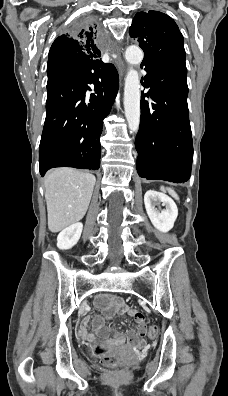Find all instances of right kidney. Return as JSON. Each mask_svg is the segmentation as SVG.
I'll return each mask as SVG.
<instances>
[{"instance_id":"1","label":"right kidney","mask_w":228,"mask_h":396,"mask_svg":"<svg viewBox=\"0 0 228 396\" xmlns=\"http://www.w3.org/2000/svg\"><path fill=\"white\" fill-rule=\"evenodd\" d=\"M83 230V224L77 222L65 228L57 237V247L62 250L71 249L77 244Z\"/></svg>"}]
</instances>
